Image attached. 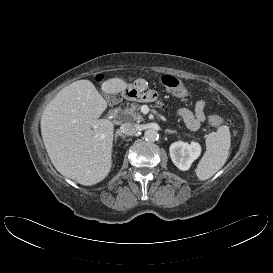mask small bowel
I'll return each mask as SVG.
<instances>
[{"label": "small bowel", "mask_w": 273, "mask_h": 273, "mask_svg": "<svg viewBox=\"0 0 273 273\" xmlns=\"http://www.w3.org/2000/svg\"><path fill=\"white\" fill-rule=\"evenodd\" d=\"M206 102L204 100H199L195 104L194 111L187 108H181L177 111V116L180 117L186 126L192 130H198L202 123L206 120L205 114Z\"/></svg>", "instance_id": "obj_1"}]
</instances>
